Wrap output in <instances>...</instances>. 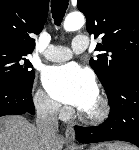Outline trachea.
Listing matches in <instances>:
<instances>
[{
    "mask_svg": "<svg viewBox=\"0 0 139 150\" xmlns=\"http://www.w3.org/2000/svg\"><path fill=\"white\" fill-rule=\"evenodd\" d=\"M67 7L68 0H51L52 17L54 18L57 26H60Z\"/></svg>",
    "mask_w": 139,
    "mask_h": 150,
    "instance_id": "3493384b",
    "label": "trachea"
}]
</instances>
